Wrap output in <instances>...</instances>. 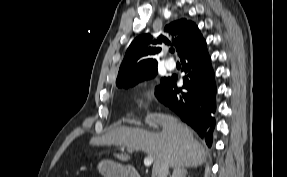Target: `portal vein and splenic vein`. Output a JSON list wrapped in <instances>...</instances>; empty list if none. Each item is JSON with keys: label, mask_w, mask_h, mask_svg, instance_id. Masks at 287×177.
I'll list each match as a JSON object with an SVG mask.
<instances>
[{"label": "portal vein and splenic vein", "mask_w": 287, "mask_h": 177, "mask_svg": "<svg viewBox=\"0 0 287 177\" xmlns=\"http://www.w3.org/2000/svg\"><path fill=\"white\" fill-rule=\"evenodd\" d=\"M122 150H124V148H122ZM153 162H154V158L152 156H147L144 158V165L146 167L151 166L153 164Z\"/></svg>", "instance_id": "portal-vein-and-splenic-vein-1"}]
</instances>
